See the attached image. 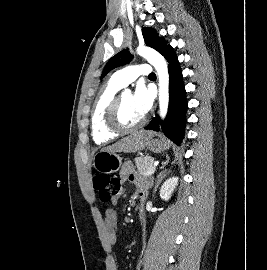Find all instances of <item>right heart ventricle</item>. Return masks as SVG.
Instances as JSON below:
<instances>
[{
	"mask_svg": "<svg viewBox=\"0 0 267 270\" xmlns=\"http://www.w3.org/2000/svg\"><path fill=\"white\" fill-rule=\"evenodd\" d=\"M122 88L111 78L98 94L91 118L93 140L98 145L107 144L119 136V133L111 131L106 124V115L110 104Z\"/></svg>",
	"mask_w": 267,
	"mask_h": 270,
	"instance_id": "right-heart-ventricle-1",
	"label": "right heart ventricle"
}]
</instances>
